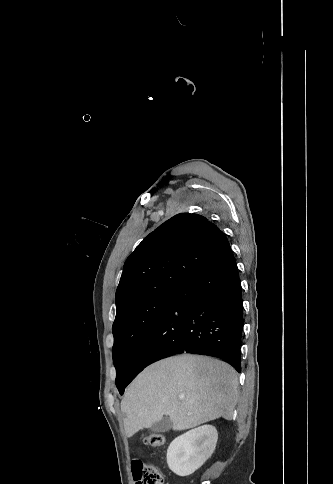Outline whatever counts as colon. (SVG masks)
<instances>
[{"label":"colon","mask_w":333,"mask_h":484,"mask_svg":"<svg viewBox=\"0 0 333 484\" xmlns=\"http://www.w3.org/2000/svg\"><path fill=\"white\" fill-rule=\"evenodd\" d=\"M144 443L151 447H161L165 443L162 434L151 433L144 438ZM164 476L162 471L153 465L142 464L137 474L136 484H163Z\"/></svg>","instance_id":"1"}]
</instances>
